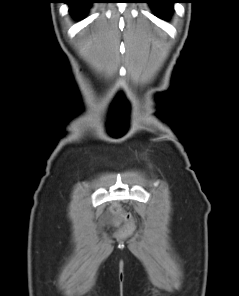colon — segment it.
<instances>
[{
  "label": "colon",
  "instance_id": "obj_1",
  "mask_svg": "<svg viewBox=\"0 0 239 296\" xmlns=\"http://www.w3.org/2000/svg\"><path fill=\"white\" fill-rule=\"evenodd\" d=\"M111 214L115 225L128 229L134 228V221L131 215L126 212L120 205L114 204L111 207Z\"/></svg>",
  "mask_w": 239,
  "mask_h": 296
}]
</instances>
